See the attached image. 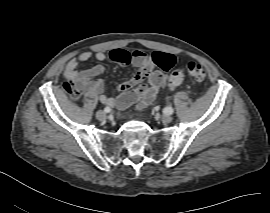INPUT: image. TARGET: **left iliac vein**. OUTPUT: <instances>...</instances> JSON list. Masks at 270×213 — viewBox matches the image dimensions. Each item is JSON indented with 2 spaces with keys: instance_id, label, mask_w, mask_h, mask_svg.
Instances as JSON below:
<instances>
[{
  "instance_id": "left-iliac-vein-1",
  "label": "left iliac vein",
  "mask_w": 270,
  "mask_h": 213,
  "mask_svg": "<svg viewBox=\"0 0 270 213\" xmlns=\"http://www.w3.org/2000/svg\"><path fill=\"white\" fill-rule=\"evenodd\" d=\"M162 121L168 124L172 121V116L170 114H164L162 116Z\"/></svg>"
}]
</instances>
